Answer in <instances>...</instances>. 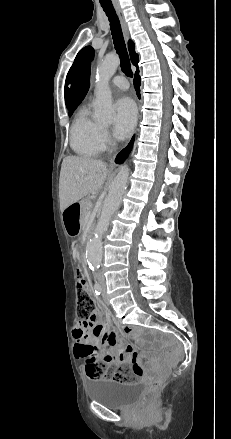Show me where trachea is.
<instances>
[{
  "label": "trachea",
  "mask_w": 231,
  "mask_h": 439,
  "mask_svg": "<svg viewBox=\"0 0 231 439\" xmlns=\"http://www.w3.org/2000/svg\"><path fill=\"white\" fill-rule=\"evenodd\" d=\"M100 3H101V7L103 8L110 22L113 43L115 46V50L120 58V67L126 76L132 77L133 72L131 70L128 53L123 39L120 21L115 12V9L112 3H104V2H100Z\"/></svg>",
  "instance_id": "3493384b"
}]
</instances>
